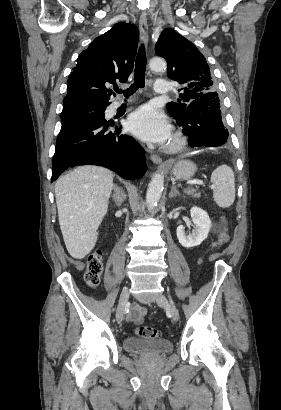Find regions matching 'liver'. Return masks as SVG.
Here are the masks:
<instances>
[{
    "label": "liver",
    "mask_w": 281,
    "mask_h": 410,
    "mask_svg": "<svg viewBox=\"0 0 281 410\" xmlns=\"http://www.w3.org/2000/svg\"><path fill=\"white\" fill-rule=\"evenodd\" d=\"M113 173L103 167L75 168L55 184L58 219L69 254L83 259L94 248L108 210Z\"/></svg>",
    "instance_id": "obj_1"
}]
</instances>
